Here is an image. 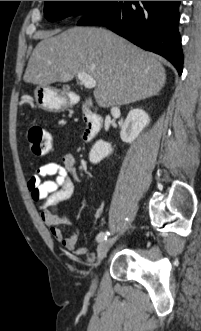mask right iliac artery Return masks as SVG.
Masks as SVG:
<instances>
[{
	"instance_id": "82829eb1",
	"label": "right iliac artery",
	"mask_w": 201,
	"mask_h": 331,
	"mask_svg": "<svg viewBox=\"0 0 201 331\" xmlns=\"http://www.w3.org/2000/svg\"><path fill=\"white\" fill-rule=\"evenodd\" d=\"M109 235H110V232H108V231L100 232L97 235L96 240H97V242H102V241L106 240Z\"/></svg>"
}]
</instances>
